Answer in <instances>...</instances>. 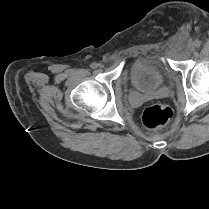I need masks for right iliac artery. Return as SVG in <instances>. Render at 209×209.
<instances>
[{"mask_svg":"<svg viewBox=\"0 0 209 209\" xmlns=\"http://www.w3.org/2000/svg\"><path fill=\"white\" fill-rule=\"evenodd\" d=\"M90 67H91L92 69H95V68L98 67V64H97V63H92V64L90 65Z\"/></svg>","mask_w":209,"mask_h":209,"instance_id":"82829eb1","label":"right iliac artery"}]
</instances>
